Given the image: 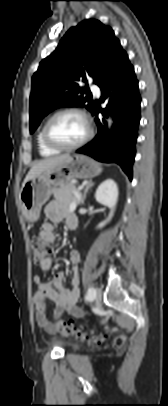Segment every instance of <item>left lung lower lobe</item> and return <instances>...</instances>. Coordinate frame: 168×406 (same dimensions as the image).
I'll use <instances>...</instances> for the list:
<instances>
[{"label":"left lung lower lobe","instance_id":"left-lung-lower-lobe-1","mask_svg":"<svg viewBox=\"0 0 168 406\" xmlns=\"http://www.w3.org/2000/svg\"><path fill=\"white\" fill-rule=\"evenodd\" d=\"M98 86L103 90L101 101L109 98V104L106 109H99V105H95L92 114L96 116L98 133L76 152L98 161L119 164L131 180L141 98L134 68L124 50L116 56ZM109 109L113 111L115 124L107 134L98 113L107 117Z\"/></svg>","mask_w":168,"mask_h":406}]
</instances>
